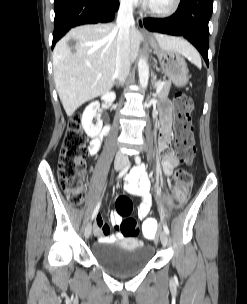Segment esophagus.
<instances>
[{
    "instance_id": "34e87169",
    "label": "esophagus",
    "mask_w": 247,
    "mask_h": 304,
    "mask_svg": "<svg viewBox=\"0 0 247 304\" xmlns=\"http://www.w3.org/2000/svg\"><path fill=\"white\" fill-rule=\"evenodd\" d=\"M137 25H138L140 31L143 32V34L149 35V33L146 31V29H145V27H144L143 19H142L141 17H139V18L137 19Z\"/></svg>"
}]
</instances>
